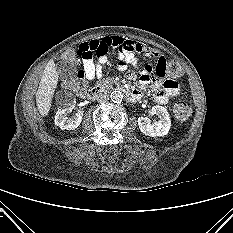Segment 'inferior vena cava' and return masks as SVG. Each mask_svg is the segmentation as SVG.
<instances>
[{"label": "inferior vena cava", "instance_id": "inferior-vena-cava-1", "mask_svg": "<svg viewBox=\"0 0 233 233\" xmlns=\"http://www.w3.org/2000/svg\"><path fill=\"white\" fill-rule=\"evenodd\" d=\"M109 100V96L105 93H101L97 97L98 102H107Z\"/></svg>", "mask_w": 233, "mask_h": 233}]
</instances>
